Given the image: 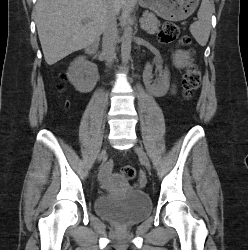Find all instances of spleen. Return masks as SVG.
<instances>
[{"mask_svg": "<svg viewBox=\"0 0 248 250\" xmlns=\"http://www.w3.org/2000/svg\"><path fill=\"white\" fill-rule=\"evenodd\" d=\"M212 11L213 5L210 1L202 0L197 13L198 21L190 26L192 36L201 46H205L207 44L210 36Z\"/></svg>", "mask_w": 248, "mask_h": 250, "instance_id": "3e777b00", "label": "spleen"}]
</instances>
